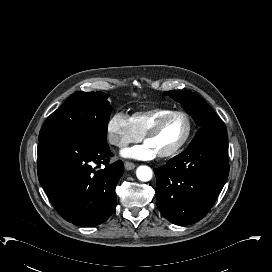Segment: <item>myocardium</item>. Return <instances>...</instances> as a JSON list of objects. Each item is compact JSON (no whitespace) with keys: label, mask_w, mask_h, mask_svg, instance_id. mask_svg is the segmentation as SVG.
Masks as SVG:
<instances>
[{"label":"myocardium","mask_w":272,"mask_h":272,"mask_svg":"<svg viewBox=\"0 0 272 272\" xmlns=\"http://www.w3.org/2000/svg\"><path fill=\"white\" fill-rule=\"evenodd\" d=\"M174 117H182L186 123V132L181 142L171 151L159 153L160 158H172L178 155L185 145L188 143L192 134V122L190 117L183 111H172L162 115L154 124H152L145 133L146 139L154 135L169 119Z\"/></svg>","instance_id":"obj_1"}]
</instances>
